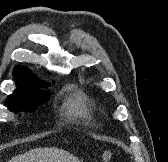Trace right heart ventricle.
Returning <instances> with one entry per match:
<instances>
[{"mask_svg": "<svg viewBox=\"0 0 168 162\" xmlns=\"http://www.w3.org/2000/svg\"><path fill=\"white\" fill-rule=\"evenodd\" d=\"M66 112L69 116L77 119H87L90 111L86 103L85 95L81 92L74 94L66 103Z\"/></svg>", "mask_w": 168, "mask_h": 162, "instance_id": "right-heart-ventricle-1", "label": "right heart ventricle"}]
</instances>
